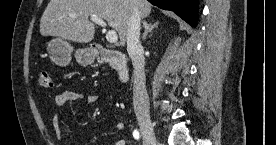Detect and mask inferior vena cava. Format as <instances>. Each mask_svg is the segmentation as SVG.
Instances as JSON below:
<instances>
[{
  "instance_id": "1",
  "label": "inferior vena cava",
  "mask_w": 276,
  "mask_h": 145,
  "mask_svg": "<svg viewBox=\"0 0 276 145\" xmlns=\"http://www.w3.org/2000/svg\"><path fill=\"white\" fill-rule=\"evenodd\" d=\"M141 17L132 3L127 28V51L134 67L133 106L137 116L149 115V97L146 90L145 58L140 43Z\"/></svg>"
}]
</instances>
